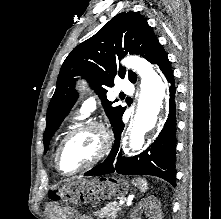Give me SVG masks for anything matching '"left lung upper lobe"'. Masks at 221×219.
I'll return each instance as SVG.
<instances>
[{"label": "left lung upper lobe", "instance_id": "5c2ea615", "mask_svg": "<svg viewBox=\"0 0 221 219\" xmlns=\"http://www.w3.org/2000/svg\"><path fill=\"white\" fill-rule=\"evenodd\" d=\"M160 45L147 20L134 11H126L116 15L94 36L76 46L61 67L56 90L47 110V124L43 135L44 152L78 98L74 90L76 79L73 76L81 75L87 79L101 98L115 132L118 123L122 121L125 108L112 106V102L106 98L105 87L114 85L116 75L121 78L128 76L132 83L136 82V74L132 71L127 72L121 66L118 68L117 60H121L129 52L151 61Z\"/></svg>", "mask_w": 221, "mask_h": 219}]
</instances>
